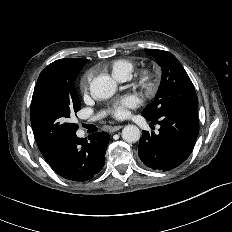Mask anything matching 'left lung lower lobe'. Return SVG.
I'll return each instance as SVG.
<instances>
[{"instance_id": "left-lung-lower-lobe-1", "label": "left lung lower lobe", "mask_w": 232, "mask_h": 232, "mask_svg": "<svg viewBox=\"0 0 232 232\" xmlns=\"http://www.w3.org/2000/svg\"><path fill=\"white\" fill-rule=\"evenodd\" d=\"M159 133L142 132L138 155L153 170L169 171L181 165L191 154L199 132L197 109L180 106L157 119Z\"/></svg>"}]
</instances>
